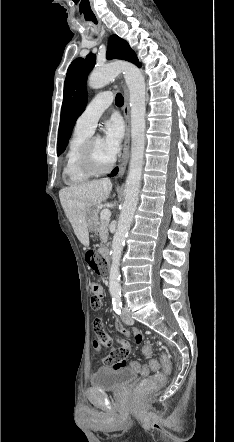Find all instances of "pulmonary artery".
Returning <instances> with one entry per match:
<instances>
[{"mask_svg":"<svg viewBox=\"0 0 234 442\" xmlns=\"http://www.w3.org/2000/svg\"><path fill=\"white\" fill-rule=\"evenodd\" d=\"M112 100L110 92H102L96 95L77 118L75 128L90 134L93 133L97 121L110 106Z\"/></svg>","mask_w":234,"mask_h":442,"instance_id":"e3ab8cb5","label":"pulmonary artery"}]
</instances>
